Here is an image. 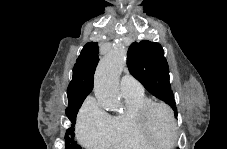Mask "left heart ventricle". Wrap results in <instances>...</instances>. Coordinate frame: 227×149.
<instances>
[{
	"label": "left heart ventricle",
	"mask_w": 227,
	"mask_h": 149,
	"mask_svg": "<svg viewBox=\"0 0 227 149\" xmlns=\"http://www.w3.org/2000/svg\"><path fill=\"white\" fill-rule=\"evenodd\" d=\"M149 131L157 143L167 144L171 140V124L166 112L155 109L149 118Z\"/></svg>",
	"instance_id": "1"
}]
</instances>
